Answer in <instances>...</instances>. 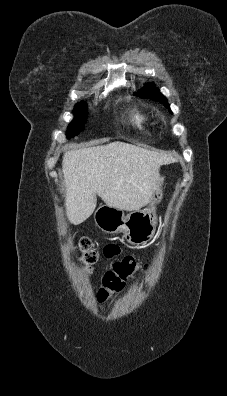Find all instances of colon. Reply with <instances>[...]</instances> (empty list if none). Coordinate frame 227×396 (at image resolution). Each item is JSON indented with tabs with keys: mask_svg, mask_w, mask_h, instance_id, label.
<instances>
[{
	"mask_svg": "<svg viewBox=\"0 0 227 396\" xmlns=\"http://www.w3.org/2000/svg\"><path fill=\"white\" fill-rule=\"evenodd\" d=\"M80 260L84 270L91 273L93 265L97 261V253L92 247L88 238H81L78 242ZM146 265L141 264L132 256H126L115 262L103 276L102 286L97 293V299L100 303L110 300L112 295L119 292L125 285L126 281L131 279L134 274L141 270H146Z\"/></svg>",
	"mask_w": 227,
	"mask_h": 396,
	"instance_id": "1",
	"label": "colon"
}]
</instances>
